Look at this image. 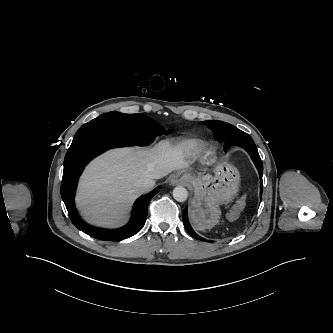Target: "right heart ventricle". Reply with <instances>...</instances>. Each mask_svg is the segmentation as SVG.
Returning <instances> with one entry per match:
<instances>
[{
  "label": "right heart ventricle",
  "instance_id": "right-heart-ventricle-1",
  "mask_svg": "<svg viewBox=\"0 0 333 333\" xmlns=\"http://www.w3.org/2000/svg\"><path fill=\"white\" fill-rule=\"evenodd\" d=\"M183 148L190 154H199L204 149V143L197 139H191L184 142Z\"/></svg>",
  "mask_w": 333,
  "mask_h": 333
}]
</instances>
